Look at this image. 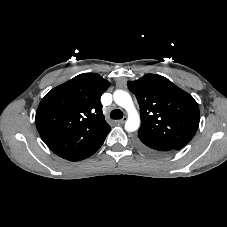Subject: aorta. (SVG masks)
I'll use <instances>...</instances> for the list:
<instances>
[{
	"instance_id": "obj_1",
	"label": "aorta",
	"mask_w": 227,
	"mask_h": 227,
	"mask_svg": "<svg viewBox=\"0 0 227 227\" xmlns=\"http://www.w3.org/2000/svg\"><path fill=\"white\" fill-rule=\"evenodd\" d=\"M113 97L115 103L124 108L128 113L125 130L128 132L136 131L140 126V117L129 93L123 90H116Z\"/></svg>"
}]
</instances>
